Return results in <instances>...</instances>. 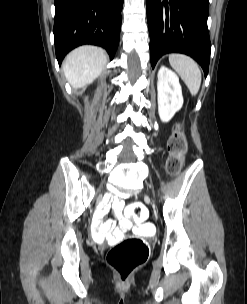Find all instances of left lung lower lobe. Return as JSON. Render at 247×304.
<instances>
[{
	"mask_svg": "<svg viewBox=\"0 0 247 304\" xmlns=\"http://www.w3.org/2000/svg\"><path fill=\"white\" fill-rule=\"evenodd\" d=\"M152 68L172 52L194 58L208 74L211 43L209 0H146Z\"/></svg>",
	"mask_w": 247,
	"mask_h": 304,
	"instance_id": "left-lung-lower-lobe-1",
	"label": "left lung lower lobe"
}]
</instances>
